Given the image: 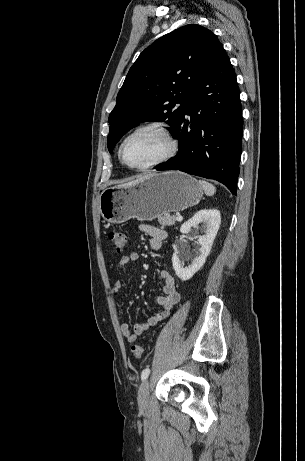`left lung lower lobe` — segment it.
Segmentation results:
<instances>
[{"label": "left lung lower lobe", "mask_w": 305, "mask_h": 461, "mask_svg": "<svg viewBox=\"0 0 305 461\" xmlns=\"http://www.w3.org/2000/svg\"><path fill=\"white\" fill-rule=\"evenodd\" d=\"M188 102L172 134L179 142L177 155L154 168L214 179L236 195L243 119L236 75L224 49Z\"/></svg>", "instance_id": "0a47b994"}]
</instances>
